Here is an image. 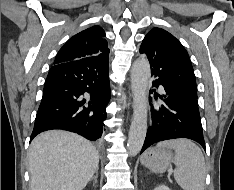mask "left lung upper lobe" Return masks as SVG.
<instances>
[{
    "label": "left lung upper lobe",
    "mask_w": 234,
    "mask_h": 190,
    "mask_svg": "<svg viewBox=\"0 0 234 190\" xmlns=\"http://www.w3.org/2000/svg\"><path fill=\"white\" fill-rule=\"evenodd\" d=\"M140 49L160 55L168 64L171 83L198 103L196 79L188 53L172 34L153 28L143 39Z\"/></svg>",
    "instance_id": "1"
}]
</instances>
